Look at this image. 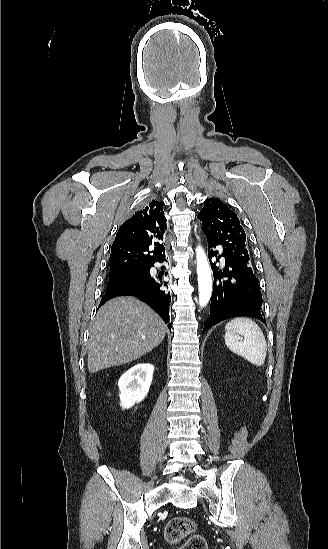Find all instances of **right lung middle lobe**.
I'll use <instances>...</instances> for the list:
<instances>
[{"instance_id":"dd1d6c3e","label":"right lung middle lobe","mask_w":328,"mask_h":549,"mask_svg":"<svg viewBox=\"0 0 328 549\" xmlns=\"http://www.w3.org/2000/svg\"><path fill=\"white\" fill-rule=\"evenodd\" d=\"M149 275L148 270H131L117 274H110L109 282L106 290L117 288L123 284L142 281Z\"/></svg>"}]
</instances>
